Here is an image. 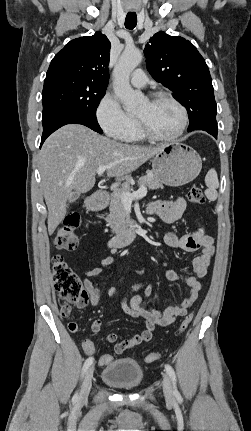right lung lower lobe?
<instances>
[{
	"mask_svg": "<svg viewBox=\"0 0 251 431\" xmlns=\"http://www.w3.org/2000/svg\"><path fill=\"white\" fill-rule=\"evenodd\" d=\"M42 123L43 134L40 147L51 133L66 124H82L98 133H102V129L100 128L97 119H92L75 112H59L46 119H42Z\"/></svg>",
	"mask_w": 251,
	"mask_h": 431,
	"instance_id": "right-lung-lower-lobe-1",
	"label": "right lung lower lobe"
}]
</instances>
